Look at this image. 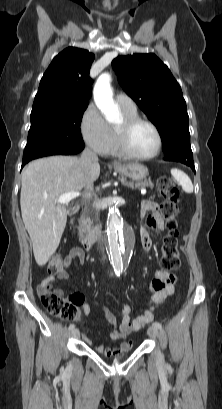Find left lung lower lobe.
Listing matches in <instances>:
<instances>
[{
  "mask_svg": "<svg viewBox=\"0 0 222 409\" xmlns=\"http://www.w3.org/2000/svg\"><path fill=\"white\" fill-rule=\"evenodd\" d=\"M164 159L167 161L181 162L191 167V169L195 172L192 150L169 152L166 153Z\"/></svg>",
  "mask_w": 222,
  "mask_h": 409,
  "instance_id": "obj_1",
  "label": "left lung lower lobe"
}]
</instances>
